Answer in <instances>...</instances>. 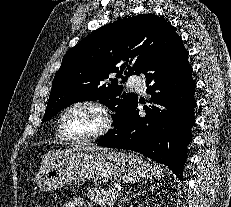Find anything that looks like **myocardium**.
Returning a JSON list of instances; mask_svg holds the SVG:
<instances>
[{"label": "myocardium", "mask_w": 231, "mask_h": 207, "mask_svg": "<svg viewBox=\"0 0 231 207\" xmlns=\"http://www.w3.org/2000/svg\"><path fill=\"white\" fill-rule=\"evenodd\" d=\"M81 105L91 106L95 108L96 110H98V112L101 114V117H102V125L98 130H96L95 132L87 136L73 137L68 133L66 129L65 120H66L67 114L73 108L77 106H81ZM113 126H114V116L112 114L111 109L103 102L97 99H93V98H84V99H79V100L72 102L62 111L60 118H59V131H60L61 136L66 141L71 142V143H76V144H81V143H86V142H90L93 140H97L103 137L104 135H106L107 133H109L112 130Z\"/></svg>", "instance_id": "obj_1"}]
</instances>
